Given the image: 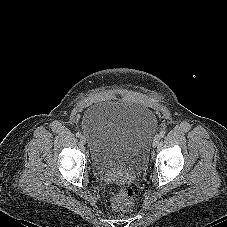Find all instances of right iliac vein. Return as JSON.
Here are the masks:
<instances>
[{
  "instance_id": "obj_1",
  "label": "right iliac vein",
  "mask_w": 227,
  "mask_h": 227,
  "mask_svg": "<svg viewBox=\"0 0 227 227\" xmlns=\"http://www.w3.org/2000/svg\"><path fill=\"white\" fill-rule=\"evenodd\" d=\"M80 140H81V142L83 143V144H86V137L85 136H81V138H80Z\"/></svg>"
}]
</instances>
